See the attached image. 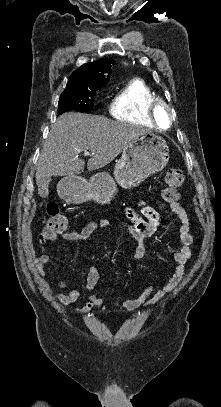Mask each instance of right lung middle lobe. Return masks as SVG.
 I'll list each match as a JSON object with an SVG mask.
<instances>
[{"mask_svg":"<svg viewBox=\"0 0 221 407\" xmlns=\"http://www.w3.org/2000/svg\"><path fill=\"white\" fill-rule=\"evenodd\" d=\"M97 90H65L59 99L58 115L70 110H92Z\"/></svg>","mask_w":221,"mask_h":407,"instance_id":"obj_1","label":"right lung middle lobe"}]
</instances>
